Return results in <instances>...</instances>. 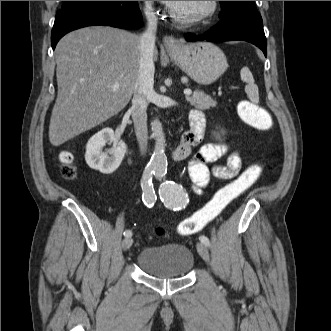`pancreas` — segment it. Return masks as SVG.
<instances>
[{"label": "pancreas", "mask_w": 331, "mask_h": 331, "mask_svg": "<svg viewBox=\"0 0 331 331\" xmlns=\"http://www.w3.org/2000/svg\"><path fill=\"white\" fill-rule=\"evenodd\" d=\"M186 100L198 109H208L217 105L216 100L205 94L203 91H195L193 96H187Z\"/></svg>", "instance_id": "obj_1"}]
</instances>
